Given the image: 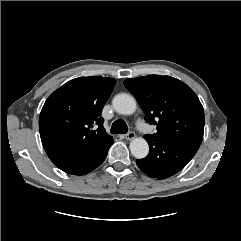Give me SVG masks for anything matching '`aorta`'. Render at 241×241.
Segmentation results:
<instances>
[{"label":"aorta","instance_id":"762f6f07","mask_svg":"<svg viewBox=\"0 0 241 241\" xmlns=\"http://www.w3.org/2000/svg\"><path fill=\"white\" fill-rule=\"evenodd\" d=\"M112 104L115 111L122 115L133 114L137 107L134 97L126 93L117 94ZM130 151L135 158L142 159L148 155L149 145L144 138L137 137L130 142Z\"/></svg>","mask_w":241,"mask_h":241}]
</instances>
